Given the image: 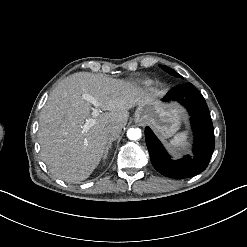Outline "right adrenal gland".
<instances>
[{"mask_svg":"<svg viewBox=\"0 0 247 247\" xmlns=\"http://www.w3.org/2000/svg\"><path fill=\"white\" fill-rule=\"evenodd\" d=\"M112 141L113 140H110L108 142V145L106 146V148L104 150L103 160H105L107 158V156H108L109 149L112 147Z\"/></svg>","mask_w":247,"mask_h":247,"instance_id":"obj_1","label":"right adrenal gland"}]
</instances>
